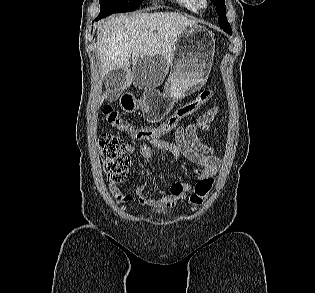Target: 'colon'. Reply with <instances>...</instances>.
<instances>
[{"label":"colon","instance_id":"5ec220e1","mask_svg":"<svg viewBox=\"0 0 315 293\" xmlns=\"http://www.w3.org/2000/svg\"><path fill=\"white\" fill-rule=\"evenodd\" d=\"M213 96L212 90L202 91L195 99L179 107L163 124L158 127H131L112 107H105L103 115L108 124L126 131L136 140H150L171 132L182 120L193 114L200 106L205 104ZM101 156L108 181L114 184L123 182L128 174L130 154L123 140L117 136L105 134L100 138ZM214 184V180L205 178L199 180L190 196L194 205H201Z\"/></svg>","mask_w":315,"mask_h":293}]
</instances>
